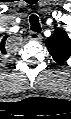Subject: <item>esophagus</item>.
I'll return each mask as SVG.
<instances>
[{
    "label": "esophagus",
    "instance_id": "1",
    "mask_svg": "<svg viewBox=\"0 0 71 119\" xmlns=\"http://www.w3.org/2000/svg\"><path fill=\"white\" fill-rule=\"evenodd\" d=\"M29 37L32 40H40L42 38L41 34L36 33V32H31Z\"/></svg>",
    "mask_w": 71,
    "mask_h": 119
}]
</instances>
